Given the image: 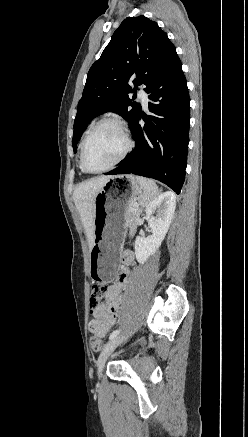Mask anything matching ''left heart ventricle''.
Wrapping results in <instances>:
<instances>
[{
  "instance_id": "obj_1",
  "label": "left heart ventricle",
  "mask_w": 248,
  "mask_h": 437,
  "mask_svg": "<svg viewBox=\"0 0 248 437\" xmlns=\"http://www.w3.org/2000/svg\"><path fill=\"white\" fill-rule=\"evenodd\" d=\"M126 142L122 132L113 125L99 129L89 140L86 148V165L100 170L112 164L124 151Z\"/></svg>"
}]
</instances>
